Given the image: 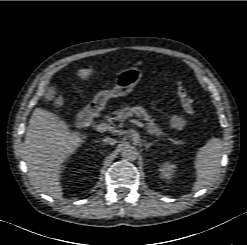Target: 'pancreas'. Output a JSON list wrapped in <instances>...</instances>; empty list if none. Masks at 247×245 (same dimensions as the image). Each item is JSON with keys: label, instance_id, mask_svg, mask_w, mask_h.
<instances>
[{"label": "pancreas", "instance_id": "pancreas-1", "mask_svg": "<svg viewBox=\"0 0 247 245\" xmlns=\"http://www.w3.org/2000/svg\"><path fill=\"white\" fill-rule=\"evenodd\" d=\"M141 111L145 110L143 108H137V107H131V106H125L119 110H116L113 112L115 115L114 118H110L111 120L119 121V122H124L127 118L136 116L138 118L143 117V113ZM146 114V112L144 113ZM146 130L158 138H163L167 137V135L163 132V130L154 122V119L149 118L148 122L146 123ZM170 142H172L174 145L181 146L184 145L185 142L182 140H177V139H172V138H167Z\"/></svg>", "mask_w": 247, "mask_h": 245}]
</instances>
